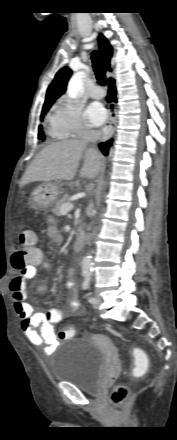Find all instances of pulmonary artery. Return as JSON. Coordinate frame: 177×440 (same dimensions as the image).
I'll list each match as a JSON object with an SVG mask.
<instances>
[{"label": "pulmonary artery", "mask_w": 177, "mask_h": 440, "mask_svg": "<svg viewBox=\"0 0 177 440\" xmlns=\"http://www.w3.org/2000/svg\"><path fill=\"white\" fill-rule=\"evenodd\" d=\"M90 96L94 99H101L104 97V90L100 86H94L90 91Z\"/></svg>", "instance_id": "e3ab8cb5"}]
</instances>
